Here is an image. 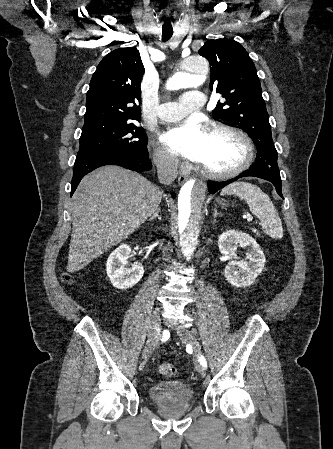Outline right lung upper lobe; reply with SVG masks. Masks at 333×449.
Masks as SVG:
<instances>
[{
    "label": "right lung upper lobe",
    "instance_id": "1",
    "mask_svg": "<svg viewBox=\"0 0 333 449\" xmlns=\"http://www.w3.org/2000/svg\"><path fill=\"white\" fill-rule=\"evenodd\" d=\"M144 66L134 47L107 54L87 92L84 126L140 120V83Z\"/></svg>",
    "mask_w": 333,
    "mask_h": 449
}]
</instances>
